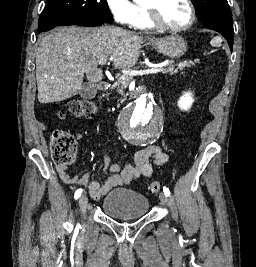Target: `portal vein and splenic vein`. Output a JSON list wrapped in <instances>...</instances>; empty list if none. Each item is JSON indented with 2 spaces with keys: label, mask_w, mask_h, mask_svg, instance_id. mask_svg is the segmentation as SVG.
Instances as JSON below:
<instances>
[{
  "label": "portal vein and splenic vein",
  "mask_w": 256,
  "mask_h": 267,
  "mask_svg": "<svg viewBox=\"0 0 256 267\" xmlns=\"http://www.w3.org/2000/svg\"><path fill=\"white\" fill-rule=\"evenodd\" d=\"M99 64H101V66H104L106 62H104V60H101ZM166 68H167L166 64H160V68H145V70H142V72H140V70L137 69H133L132 72H130L129 69H126L125 72H123V74H128V76H136L137 73H139V75H142V73L156 74L157 71H164V69Z\"/></svg>",
  "instance_id": "portal-vein-and-splenic-vein-1"
}]
</instances>
